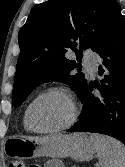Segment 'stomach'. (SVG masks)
I'll return each mask as SVG.
<instances>
[{"label":"stomach","instance_id":"stomach-1","mask_svg":"<svg viewBox=\"0 0 125 167\" xmlns=\"http://www.w3.org/2000/svg\"><path fill=\"white\" fill-rule=\"evenodd\" d=\"M8 142L7 154L27 159L45 156L71 157L79 161H88L95 153L93 142L83 133L56 134L45 137L14 136Z\"/></svg>","mask_w":125,"mask_h":167}]
</instances>
